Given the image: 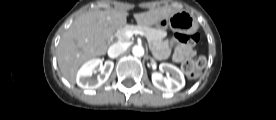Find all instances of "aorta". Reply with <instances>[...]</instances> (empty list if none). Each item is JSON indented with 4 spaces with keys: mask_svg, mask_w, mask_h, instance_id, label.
<instances>
[{
    "mask_svg": "<svg viewBox=\"0 0 276 120\" xmlns=\"http://www.w3.org/2000/svg\"><path fill=\"white\" fill-rule=\"evenodd\" d=\"M132 53L135 57H142L144 55V48L141 45H135L132 49Z\"/></svg>",
    "mask_w": 276,
    "mask_h": 120,
    "instance_id": "aorta-1",
    "label": "aorta"
}]
</instances>
